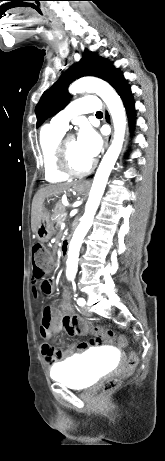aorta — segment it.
Instances as JSON below:
<instances>
[{"label":"aorta","instance_id":"aorta-1","mask_svg":"<svg viewBox=\"0 0 165 461\" xmlns=\"http://www.w3.org/2000/svg\"><path fill=\"white\" fill-rule=\"evenodd\" d=\"M69 92L73 95L84 92L96 93L107 105L114 125L113 141L96 171L85 212L69 244L66 277L71 280L75 278L77 273L79 251L83 239L92 226L94 215L100 204L109 175L122 149L126 129V114L118 94L107 82L101 79L94 77L81 78L70 85Z\"/></svg>","mask_w":165,"mask_h":461}]
</instances>
